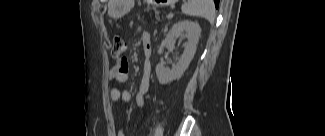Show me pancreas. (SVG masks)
Wrapping results in <instances>:
<instances>
[{
    "label": "pancreas",
    "mask_w": 325,
    "mask_h": 136,
    "mask_svg": "<svg viewBox=\"0 0 325 136\" xmlns=\"http://www.w3.org/2000/svg\"><path fill=\"white\" fill-rule=\"evenodd\" d=\"M161 14L160 9H156L155 5H150L147 12H141L140 18L141 19H152L153 24H160L162 19L159 17Z\"/></svg>",
    "instance_id": "pancreas-1"
}]
</instances>
